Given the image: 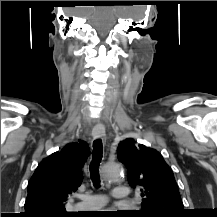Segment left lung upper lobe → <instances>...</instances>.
I'll return each mask as SVG.
<instances>
[{
    "label": "left lung upper lobe",
    "mask_w": 217,
    "mask_h": 217,
    "mask_svg": "<svg viewBox=\"0 0 217 217\" xmlns=\"http://www.w3.org/2000/svg\"><path fill=\"white\" fill-rule=\"evenodd\" d=\"M117 156L128 170V183L141 187L144 217H182L185 213L173 171L159 152L133 139L119 143Z\"/></svg>",
    "instance_id": "obj_1"
}]
</instances>
